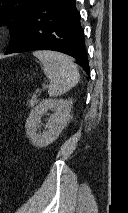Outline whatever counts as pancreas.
Listing matches in <instances>:
<instances>
[{
    "mask_svg": "<svg viewBox=\"0 0 128 213\" xmlns=\"http://www.w3.org/2000/svg\"><path fill=\"white\" fill-rule=\"evenodd\" d=\"M38 102L39 100L36 97H32L30 100H28L27 106L34 107Z\"/></svg>",
    "mask_w": 128,
    "mask_h": 213,
    "instance_id": "1",
    "label": "pancreas"
}]
</instances>
